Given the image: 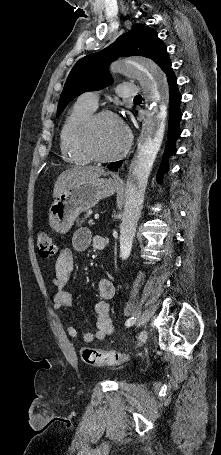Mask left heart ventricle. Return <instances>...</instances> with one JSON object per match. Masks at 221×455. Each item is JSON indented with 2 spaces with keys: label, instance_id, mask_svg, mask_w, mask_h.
<instances>
[{
  "label": "left heart ventricle",
  "instance_id": "left-heart-ventricle-1",
  "mask_svg": "<svg viewBox=\"0 0 221 455\" xmlns=\"http://www.w3.org/2000/svg\"><path fill=\"white\" fill-rule=\"evenodd\" d=\"M126 136V130L120 120L105 117L94 128L92 145L97 153L110 155L123 147Z\"/></svg>",
  "mask_w": 221,
  "mask_h": 455
}]
</instances>
